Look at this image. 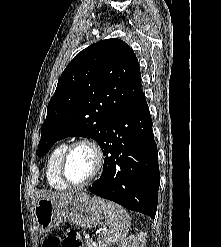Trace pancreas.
I'll return each instance as SVG.
<instances>
[{
  "label": "pancreas",
  "mask_w": 221,
  "mask_h": 247,
  "mask_svg": "<svg viewBox=\"0 0 221 247\" xmlns=\"http://www.w3.org/2000/svg\"><path fill=\"white\" fill-rule=\"evenodd\" d=\"M86 244H87V247H95V244L92 239H87ZM96 247H99V245H97Z\"/></svg>",
  "instance_id": "1"
}]
</instances>
